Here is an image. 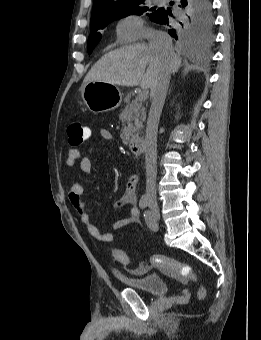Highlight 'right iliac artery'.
Segmentation results:
<instances>
[{
    "mask_svg": "<svg viewBox=\"0 0 261 340\" xmlns=\"http://www.w3.org/2000/svg\"><path fill=\"white\" fill-rule=\"evenodd\" d=\"M148 205V198L146 195H143L139 201V206L141 209L146 208Z\"/></svg>",
    "mask_w": 261,
    "mask_h": 340,
    "instance_id": "82829eb1",
    "label": "right iliac artery"
}]
</instances>
